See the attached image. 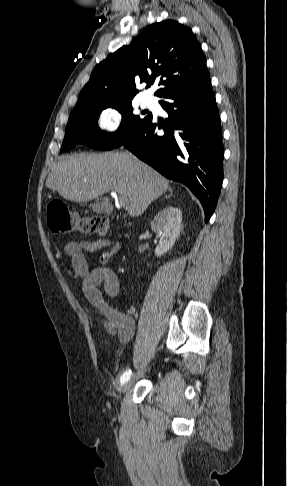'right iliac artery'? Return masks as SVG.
<instances>
[{"label": "right iliac artery", "mask_w": 287, "mask_h": 486, "mask_svg": "<svg viewBox=\"0 0 287 486\" xmlns=\"http://www.w3.org/2000/svg\"><path fill=\"white\" fill-rule=\"evenodd\" d=\"M130 376H131V370L125 371L120 378L121 384L127 382L130 379Z\"/></svg>", "instance_id": "obj_1"}]
</instances>
